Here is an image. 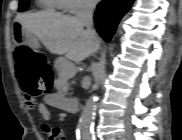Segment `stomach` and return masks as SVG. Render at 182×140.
Returning a JSON list of instances; mask_svg holds the SVG:
<instances>
[{"label":"stomach","instance_id":"stomach-1","mask_svg":"<svg viewBox=\"0 0 182 140\" xmlns=\"http://www.w3.org/2000/svg\"><path fill=\"white\" fill-rule=\"evenodd\" d=\"M10 26L15 30V44H26L32 48L38 47V39L33 36V31H20L26 30V25H23L22 22H11Z\"/></svg>","mask_w":182,"mask_h":140}]
</instances>
